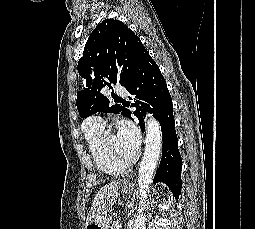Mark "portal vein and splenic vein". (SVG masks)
Segmentation results:
<instances>
[{
  "mask_svg": "<svg viewBox=\"0 0 255 229\" xmlns=\"http://www.w3.org/2000/svg\"><path fill=\"white\" fill-rule=\"evenodd\" d=\"M116 227H117L118 229L121 228V224L118 223V224L116 225Z\"/></svg>",
  "mask_w": 255,
  "mask_h": 229,
  "instance_id": "portal-vein-and-splenic-vein-1",
  "label": "portal vein and splenic vein"
}]
</instances>
